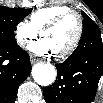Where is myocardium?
I'll list each match as a JSON object with an SVG mask.
<instances>
[{"mask_svg":"<svg viewBox=\"0 0 103 103\" xmlns=\"http://www.w3.org/2000/svg\"><path fill=\"white\" fill-rule=\"evenodd\" d=\"M74 16L76 17L77 21H78V28H77V32L75 37L73 38L72 42L63 50L56 52L55 55L58 58H65L68 55H70L78 46L82 35H83V31H84V21L82 16L80 15V13H78L75 10H69L66 11L60 15H58L56 18H54L51 22H49L48 24H46L42 29H41V35H43L45 32L52 30L54 28H56L57 26H59L64 20H66L67 18Z\"/></svg>","mask_w":103,"mask_h":103,"instance_id":"1","label":"myocardium"}]
</instances>
